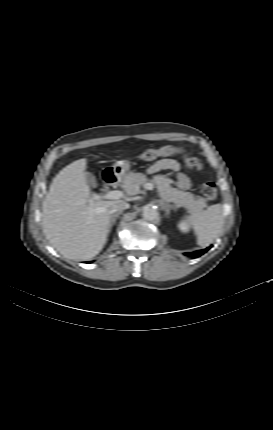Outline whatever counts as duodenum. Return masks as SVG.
<instances>
[{"label": "duodenum", "mask_w": 273, "mask_h": 430, "mask_svg": "<svg viewBox=\"0 0 273 430\" xmlns=\"http://www.w3.org/2000/svg\"><path fill=\"white\" fill-rule=\"evenodd\" d=\"M104 181L108 185H113L117 182V177L113 173H107L104 176Z\"/></svg>", "instance_id": "obj_1"}]
</instances>
